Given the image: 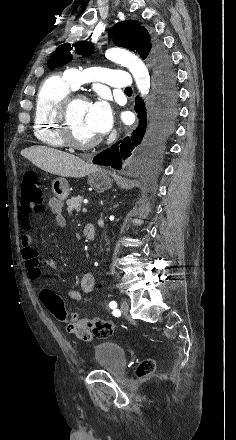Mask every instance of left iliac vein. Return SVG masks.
Returning a JSON list of instances; mask_svg holds the SVG:
<instances>
[{"label": "left iliac vein", "instance_id": "obj_1", "mask_svg": "<svg viewBox=\"0 0 236 440\" xmlns=\"http://www.w3.org/2000/svg\"><path fill=\"white\" fill-rule=\"evenodd\" d=\"M121 311L123 314H128L129 313V303L126 300H123L121 302Z\"/></svg>", "mask_w": 236, "mask_h": 440}]
</instances>
